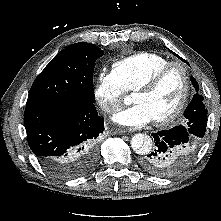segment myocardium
Returning a JSON list of instances; mask_svg holds the SVG:
<instances>
[{
    "label": "myocardium",
    "instance_id": "1",
    "mask_svg": "<svg viewBox=\"0 0 221 221\" xmlns=\"http://www.w3.org/2000/svg\"><path fill=\"white\" fill-rule=\"evenodd\" d=\"M177 67L181 70L183 75L184 87L182 96L177 104V106L166 116L154 120L156 125H167L174 120H176L180 114L183 112L191 90V81L187 67L180 61H170L166 65L159 68L147 81L141 84L135 91V93H148L153 91L165 77V75L169 72L170 69Z\"/></svg>",
    "mask_w": 221,
    "mask_h": 221
}]
</instances>
